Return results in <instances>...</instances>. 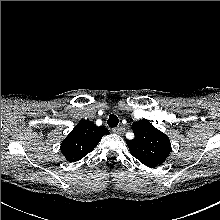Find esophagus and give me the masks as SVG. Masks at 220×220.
<instances>
[{
	"mask_svg": "<svg viewBox=\"0 0 220 220\" xmlns=\"http://www.w3.org/2000/svg\"><path fill=\"white\" fill-rule=\"evenodd\" d=\"M112 131H113L114 133H116V134L121 135V134H123V133L125 132V128L122 127V126H119V127L113 128Z\"/></svg>",
	"mask_w": 220,
	"mask_h": 220,
	"instance_id": "obj_1",
	"label": "esophagus"
}]
</instances>
